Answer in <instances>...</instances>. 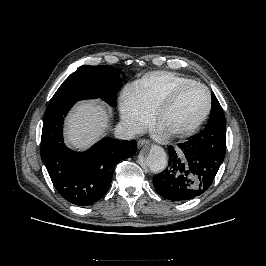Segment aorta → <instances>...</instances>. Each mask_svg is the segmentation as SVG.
I'll return each mask as SVG.
<instances>
[{
  "label": "aorta",
  "mask_w": 266,
  "mask_h": 266,
  "mask_svg": "<svg viewBox=\"0 0 266 266\" xmlns=\"http://www.w3.org/2000/svg\"><path fill=\"white\" fill-rule=\"evenodd\" d=\"M144 163L153 172L163 171L167 166V155L165 150L157 145L152 146L144 159Z\"/></svg>",
  "instance_id": "762f6f07"
}]
</instances>
